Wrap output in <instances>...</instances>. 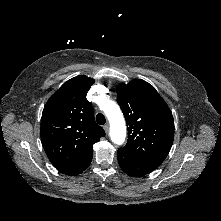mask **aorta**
<instances>
[{
  "label": "aorta",
  "instance_id": "obj_1",
  "mask_svg": "<svg viewBox=\"0 0 221 221\" xmlns=\"http://www.w3.org/2000/svg\"><path fill=\"white\" fill-rule=\"evenodd\" d=\"M102 109L110 123V137L112 142L117 145L123 144L126 137V125L119 106L113 101H108L102 106Z\"/></svg>",
  "mask_w": 221,
  "mask_h": 221
}]
</instances>
